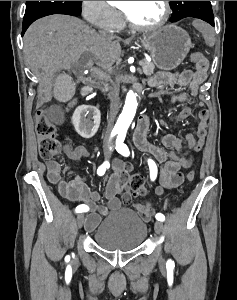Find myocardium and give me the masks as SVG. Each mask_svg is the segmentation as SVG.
<instances>
[{
	"instance_id": "myocardium-1",
	"label": "myocardium",
	"mask_w": 237,
	"mask_h": 300,
	"mask_svg": "<svg viewBox=\"0 0 237 300\" xmlns=\"http://www.w3.org/2000/svg\"><path fill=\"white\" fill-rule=\"evenodd\" d=\"M164 4V13L161 19L152 25H140L137 24L133 21V19L125 12L124 10L121 9V13L123 15V18L125 22L133 29L138 30V31H154L162 28L169 20L170 15H171V6H170V1H163Z\"/></svg>"
}]
</instances>
